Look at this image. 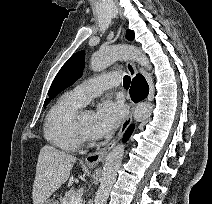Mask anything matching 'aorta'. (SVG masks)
Returning a JSON list of instances; mask_svg holds the SVG:
<instances>
[{"label": "aorta", "instance_id": "obj_1", "mask_svg": "<svg viewBox=\"0 0 212 204\" xmlns=\"http://www.w3.org/2000/svg\"><path fill=\"white\" fill-rule=\"evenodd\" d=\"M120 59H132L148 70L152 68L149 59L140 49L128 45H114L99 49L91 57L90 68L95 72H99ZM152 110L153 106L151 104L142 102L134 110V119L138 122L145 121L152 114ZM124 151L125 146L118 144L107 155L94 204H106L110 190L116 180Z\"/></svg>", "mask_w": 212, "mask_h": 204}]
</instances>
